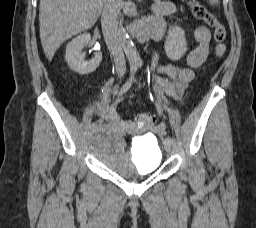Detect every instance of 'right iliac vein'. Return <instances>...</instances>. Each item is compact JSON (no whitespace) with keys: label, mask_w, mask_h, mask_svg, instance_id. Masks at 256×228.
<instances>
[{"label":"right iliac vein","mask_w":256,"mask_h":228,"mask_svg":"<svg viewBox=\"0 0 256 228\" xmlns=\"http://www.w3.org/2000/svg\"><path fill=\"white\" fill-rule=\"evenodd\" d=\"M88 133H89L90 136H93L96 133V130L95 129H89Z\"/></svg>","instance_id":"obj_1"}]
</instances>
